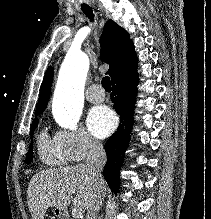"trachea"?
I'll return each instance as SVG.
<instances>
[{"mask_svg": "<svg viewBox=\"0 0 211 219\" xmlns=\"http://www.w3.org/2000/svg\"><path fill=\"white\" fill-rule=\"evenodd\" d=\"M82 11L89 19L93 20L94 14L90 6H82ZM101 84L106 91H111V83L108 76L102 78Z\"/></svg>", "mask_w": 211, "mask_h": 219, "instance_id": "1", "label": "trachea"}]
</instances>
